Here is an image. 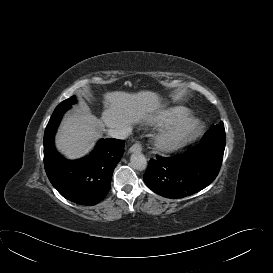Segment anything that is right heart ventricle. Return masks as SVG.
<instances>
[{"mask_svg":"<svg viewBox=\"0 0 273 273\" xmlns=\"http://www.w3.org/2000/svg\"><path fill=\"white\" fill-rule=\"evenodd\" d=\"M189 114V111L183 107H177L165 114L163 120L166 125H174L184 120Z\"/></svg>","mask_w":273,"mask_h":273,"instance_id":"1","label":"right heart ventricle"}]
</instances>
